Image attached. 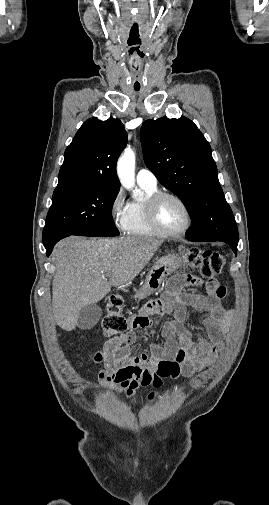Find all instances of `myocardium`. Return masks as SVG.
<instances>
[{"instance_id": "1", "label": "myocardium", "mask_w": 269, "mask_h": 505, "mask_svg": "<svg viewBox=\"0 0 269 505\" xmlns=\"http://www.w3.org/2000/svg\"><path fill=\"white\" fill-rule=\"evenodd\" d=\"M165 198H171L176 200L185 210L187 215V222L183 229L175 232L165 230L159 223L157 216V209L160 202ZM145 210L147 220L151 226V228L160 236L163 237H181L185 235L193 224V214L192 211L187 204V202L180 197L179 195L167 192V191H158L155 194L151 195L145 202Z\"/></svg>"}]
</instances>
